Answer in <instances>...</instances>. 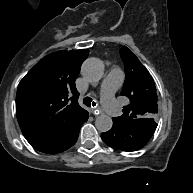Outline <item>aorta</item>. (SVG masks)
Wrapping results in <instances>:
<instances>
[{"label": "aorta", "instance_id": "aorta-1", "mask_svg": "<svg viewBox=\"0 0 193 193\" xmlns=\"http://www.w3.org/2000/svg\"><path fill=\"white\" fill-rule=\"evenodd\" d=\"M83 76L91 82L99 81L104 74V65L97 58L87 59L82 66ZM113 121L110 116L102 114L95 119V126L99 132H107L112 128Z\"/></svg>", "mask_w": 193, "mask_h": 193}]
</instances>
